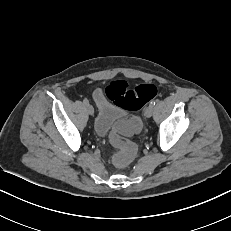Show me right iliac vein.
I'll return each mask as SVG.
<instances>
[{
  "mask_svg": "<svg viewBox=\"0 0 231 231\" xmlns=\"http://www.w3.org/2000/svg\"><path fill=\"white\" fill-rule=\"evenodd\" d=\"M86 109H87V111H88V113H89L90 115H93V114H94V108H93L92 105L87 104V105H86Z\"/></svg>",
  "mask_w": 231,
  "mask_h": 231,
  "instance_id": "obj_1",
  "label": "right iliac vein"
}]
</instances>
